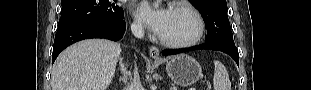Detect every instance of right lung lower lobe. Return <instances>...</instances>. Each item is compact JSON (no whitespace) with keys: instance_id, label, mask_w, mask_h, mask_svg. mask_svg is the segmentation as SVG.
Returning <instances> with one entry per match:
<instances>
[{"instance_id":"right-lung-lower-lobe-1","label":"right lung lower lobe","mask_w":311,"mask_h":90,"mask_svg":"<svg viewBox=\"0 0 311 90\" xmlns=\"http://www.w3.org/2000/svg\"><path fill=\"white\" fill-rule=\"evenodd\" d=\"M126 24L122 19L116 21L88 20L58 29L55 35L52 62L69 45L89 38H105L117 41L122 38Z\"/></svg>"}]
</instances>
